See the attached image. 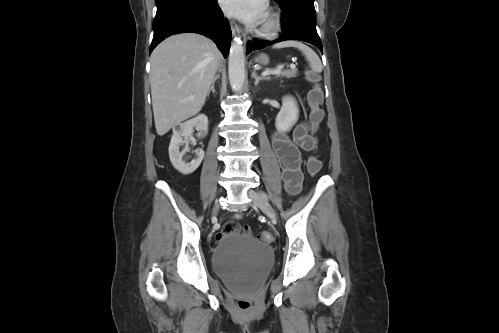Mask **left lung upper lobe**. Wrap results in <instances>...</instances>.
<instances>
[{
  "instance_id": "left-lung-upper-lobe-1",
  "label": "left lung upper lobe",
  "mask_w": 499,
  "mask_h": 333,
  "mask_svg": "<svg viewBox=\"0 0 499 333\" xmlns=\"http://www.w3.org/2000/svg\"><path fill=\"white\" fill-rule=\"evenodd\" d=\"M277 2H285L286 0H275Z\"/></svg>"
}]
</instances>
